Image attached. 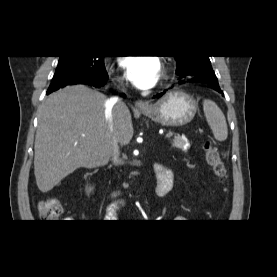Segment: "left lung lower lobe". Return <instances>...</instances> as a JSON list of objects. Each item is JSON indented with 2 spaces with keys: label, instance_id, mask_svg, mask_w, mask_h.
<instances>
[{
  "label": "left lung lower lobe",
  "instance_id": "1",
  "mask_svg": "<svg viewBox=\"0 0 277 277\" xmlns=\"http://www.w3.org/2000/svg\"><path fill=\"white\" fill-rule=\"evenodd\" d=\"M188 82H200V83H205L207 84L210 88H212L213 90L222 93L219 84H218V80L216 78L215 75H202V76H194L191 78L187 79ZM183 81H180L179 83H182ZM165 93V92H164ZM163 93L154 96L155 97H159L161 96ZM223 94V93H222Z\"/></svg>",
  "mask_w": 277,
  "mask_h": 277
}]
</instances>
